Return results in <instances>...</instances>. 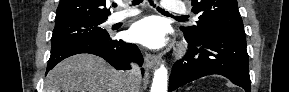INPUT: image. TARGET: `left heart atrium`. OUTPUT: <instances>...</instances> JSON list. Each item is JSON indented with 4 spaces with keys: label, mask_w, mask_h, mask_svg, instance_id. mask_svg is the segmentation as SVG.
Segmentation results:
<instances>
[{
    "label": "left heart atrium",
    "mask_w": 289,
    "mask_h": 92,
    "mask_svg": "<svg viewBox=\"0 0 289 92\" xmlns=\"http://www.w3.org/2000/svg\"><path fill=\"white\" fill-rule=\"evenodd\" d=\"M131 41L156 49L166 43V29L163 22L155 17H145L134 24L128 31Z\"/></svg>",
    "instance_id": "39dd6f15"
}]
</instances>
